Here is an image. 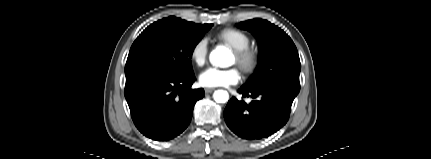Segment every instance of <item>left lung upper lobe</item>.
I'll return each instance as SVG.
<instances>
[{"mask_svg": "<svg viewBox=\"0 0 431 159\" xmlns=\"http://www.w3.org/2000/svg\"><path fill=\"white\" fill-rule=\"evenodd\" d=\"M238 26L250 31L259 44L258 67L244 87H258L279 79L299 84L298 51L283 30L262 19L244 21Z\"/></svg>", "mask_w": 431, "mask_h": 159, "instance_id": "1", "label": "left lung upper lobe"}]
</instances>
